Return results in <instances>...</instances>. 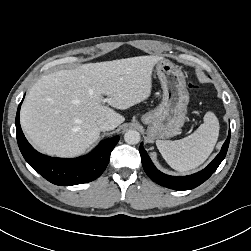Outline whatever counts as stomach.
<instances>
[{
	"label": "stomach",
	"instance_id": "obj_1",
	"mask_svg": "<svg viewBox=\"0 0 251 251\" xmlns=\"http://www.w3.org/2000/svg\"><path fill=\"white\" fill-rule=\"evenodd\" d=\"M156 73L163 90L159 106L142 115L148 125L147 136L151 140L177 135L185 123L189 93L183 72L172 62L162 59L156 64Z\"/></svg>",
	"mask_w": 251,
	"mask_h": 251
}]
</instances>
